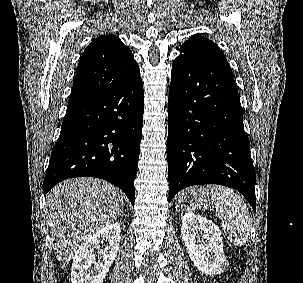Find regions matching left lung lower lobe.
<instances>
[{"label": "left lung lower lobe", "mask_w": 303, "mask_h": 283, "mask_svg": "<svg viewBox=\"0 0 303 283\" xmlns=\"http://www.w3.org/2000/svg\"><path fill=\"white\" fill-rule=\"evenodd\" d=\"M169 87V202L183 188L220 184L256 210V174L233 72L221 55L178 56Z\"/></svg>", "instance_id": "obj_1"}]
</instances>
